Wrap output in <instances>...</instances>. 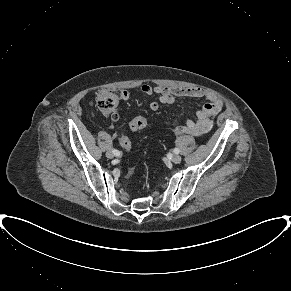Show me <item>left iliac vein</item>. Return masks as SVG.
Returning <instances> with one entry per match:
<instances>
[{
    "label": "left iliac vein",
    "instance_id": "obj_1",
    "mask_svg": "<svg viewBox=\"0 0 291 291\" xmlns=\"http://www.w3.org/2000/svg\"><path fill=\"white\" fill-rule=\"evenodd\" d=\"M181 160H182L181 156L180 155H177V154L173 155L172 158H171V161L173 163H175V164L180 163Z\"/></svg>",
    "mask_w": 291,
    "mask_h": 291
}]
</instances>
